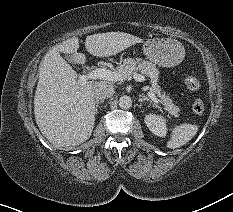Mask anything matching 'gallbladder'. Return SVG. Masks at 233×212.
Here are the masks:
<instances>
[{
    "label": "gallbladder",
    "instance_id": "obj_1",
    "mask_svg": "<svg viewBox=\"0 0 233 212\" xmlns=\"http://www.w3.org/2000/svg\"><path fill=\"white\" fill-rule=\"evenodd\" d=\"M65 58H66V60H67L68 62H70V63H75V62L73 61L72 56L66 55Z\"/></svg>",
    "mask_w": 233,
    "mask_h": 212
}]
</instances>
